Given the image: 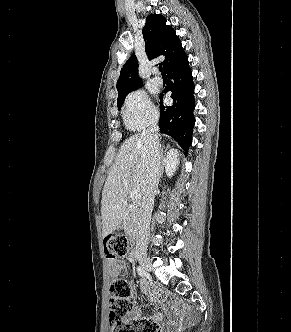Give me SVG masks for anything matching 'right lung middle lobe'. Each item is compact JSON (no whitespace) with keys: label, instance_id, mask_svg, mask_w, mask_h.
Returning a JSON list of instances; mask_svg holds the SVG:
<instances>
[{"label":"right lung middle lobe","instance_id":"right-lung-middle-lobe-1","mask_svg":"<svg viewBox=\"0 0 291 332\" xmlns=\"http://www.w3.org/2000/svg\"><path fill=\"white\" fill-rule=\"evenodd\" d=\"M123 101H124V98L121 99V100H119V101H117V106H118V109H119V110H120V108H121V106H122V104H123Z\"/></svg>","mask_w":291,"mask_h":332}]
</instances>
